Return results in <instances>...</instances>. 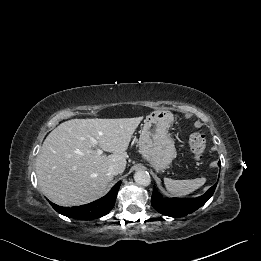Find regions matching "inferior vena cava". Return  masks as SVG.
<instances>
[{
    "instance_id": "602c4592",
    "label": "inferior vena cava",
    "mask_w": 261,
    "mask_h": 261,
    "mask_svg": "<svg viewBox=\"0 0 261 261\" xmlns=\"http://www.w3.org/2000/svg\"><path fill=\"white\" fill-rule=\"evenodd\" d=\"M121 172H122V169H121V167L118 166V165H111V166L108 168V173H109L110 175H117V174H119V173H121Z\"/></svg>"
}]
</instances>
